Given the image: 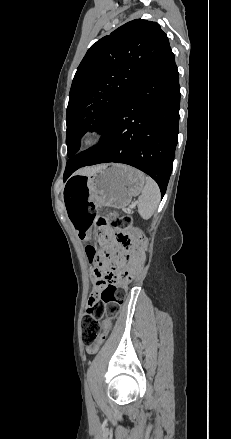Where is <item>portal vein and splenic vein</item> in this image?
Wrapping results in <instances>:
<instances>
[{
	"label": "portal vein and splenic vein",
	"mask_w": 231,
	"mask_h": 439,
	"mask_svg": "<svg viewBox=\"0 0 231 439\" xmlns=\"http://www.w3.org/2000/svg\"><path fill=\"white\" fill-rule=\"evenodd\" d=\"M130 207L133 208V207H134V204H132Z\"/></svg>",
	"instance_id": "18ae733b"
}]
</instances>
